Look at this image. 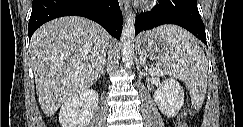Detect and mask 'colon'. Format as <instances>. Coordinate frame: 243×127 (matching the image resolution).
<instances>
[{"label": "colon", "mask_w": 243, "mask_h": 127, "mask_svg": "<svg viewBox=\"0 0 243 127\" xmlns=\"http://www.w3.org/2000/svg\"><path fill=\"white\" fill-rule=\"evenodd\" d=\"M179 126H180V127H185V126H186V124L181 123V124H179Z\"/></svg>", "instance_id": "obj_1"}]
</instances>
